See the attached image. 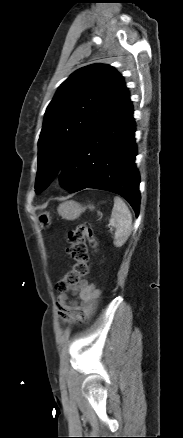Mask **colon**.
<instances>
[{"label":"colon","mask_w":183,"mask_h":438,"mask_svg":"<svg viewBox=\"0 0 183 438\" xmlns=\"http://www.w3.org/2000/svg\"><path fill=\"white\" fill-rule=\"evenodd\" d=\"M68 253L73 263L70 270L57 282L56 290L59 292L68 291L72 286L82 282L89 271L88 244L95 250L97 238L94 235L90 224L83 223L68 233Z\"/></svg>","instance_id":"5ec220e1"}]
</instances>
